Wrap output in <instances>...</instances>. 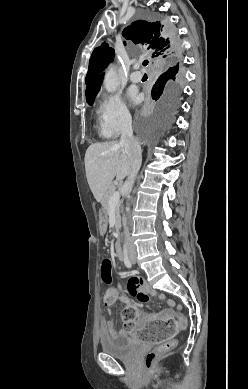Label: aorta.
Instances as JSON below:
<instances>
[{"label": "aorta", "mask_w": 248, "mask_h": 389, "mask_svg": "<svg viewBox=\"0 0 248 389\" xmlns=\"http://www.w3.org/2000/svg\"><path fill=\"white\" fill-rule=\"evenodd\" d=\"M119 86V80L114 67L110 68L104 78V87L107 92H114Z\"/></svg>", "instance_id": "obj_1"}]
</instances>
